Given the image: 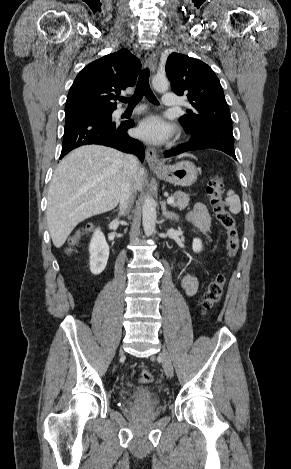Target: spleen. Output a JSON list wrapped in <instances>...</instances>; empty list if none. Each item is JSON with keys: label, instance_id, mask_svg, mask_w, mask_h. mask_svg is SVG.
I'll return each instance as SVG.
<instances>
[{"label": "spleen", "instance_id": "spleen-1", "mask_svg": "<svg viewBox=\"0 0 291 469\" xmlns=\"http://www.w3.org/2000/svg\"><path fill=\"white\" fill-rule=\"evenodd\" d=\"M225 204L229 207V210L233 214H238L241 211L240 198L237 196L233 190L227 192V198Z\"/></svg>", "mask_w": 291, "mask_h": 469}]
</instances>
